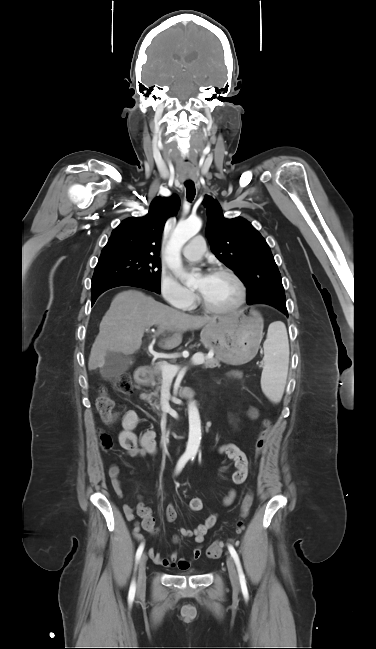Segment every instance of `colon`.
<instances>
[{
	"mask_svg": "<svg viewBox=\"0 0 376 649\" xmlns=\"http://www.w3.org/2000/svg\"><path fill=\"white\" fill-rule=\"evenodd\" d=\"M113 387L116 391L124 394H128L132 390L131 380L128 375L122 374L117 376L113 380ZM96 408L107 425H111L116 420V413L114 412V404L112 399L109 397L105 390H102L99 396L96 399ZM271 429V423L268 419H263L259 424V432L256 441V450L258 454H261L265 448L266 440ZM100 440L102 446L106 449L110 448L112 441L110 436L105 433H100ZM254 495L252 492H248L241 504L240 509V519L237 522V531H240L243 528V519H245L253 505ZM224 548V543L222 541H217L212 543L207 549V555L211 558H218L221 556Z\"/></svg>",
	"mask_w": 376,
	"mask_h": 649,
	"instance_id": "colon-1",
	"label": "colon"
}]
</instances>
